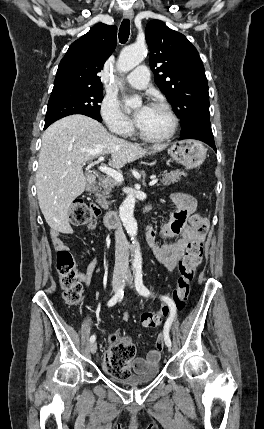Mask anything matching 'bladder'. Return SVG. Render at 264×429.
Returning <instances> with one entry per match:
<instances>
[{
	"label": "bladder",
	"mask_w": 264,
	"mask_h": 429,
	"mask_svg": "<svg viewBox=\"0 0 264 429\" xmlns=\"http://www.w3.org/2000/svg\"><path fill=\"white\" fill-rule=\"evenodd\" d=\"M159 375V367L154 366L149 368L146 372L140 374H129L126 377H117L114 375L110 376V379L119 385L122 386H138L146 383H150L157 378Z\"/></svg>",
	"instance_id": "31cf9c89"
}]
</instances>
